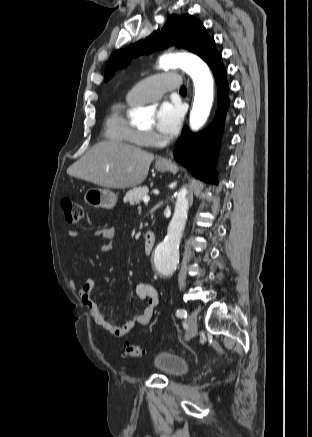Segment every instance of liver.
<instances>
[{"label":"liver","mask_w":312,"mask_h":437,"mask_svg":"<svg viewBox=\"0 0 312 437\" xmlns=\"http://www.w3.org/2000/svg\"><path fill=\"white\" fill-rule=\"evenodd\" d=\"M152 153L115 141L95 144L67 173L106 188H130L147 177Z\"/></svg>","instance_id":"6515ba94"}]
</instances>
